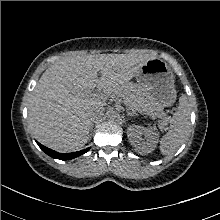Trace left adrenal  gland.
Listing matches in <instances>:
<instances>
[{
	"label": "left adrenal gland",
	"instance_id": "left-adrenal-gland-1",
	"mask_svg": "<svg viewBox=\"0 0 220 220\" xmlns=\"http://www.w3.org/2000/svg\"><path fill=\"white\" fill-rule=\"evenodd\" d=\"M136 114L135 113H132L130 111L127 112V116H135Z\"/></svg>",
	"mask_w": 220,
	"mask_h": 220
}]
</instances>
